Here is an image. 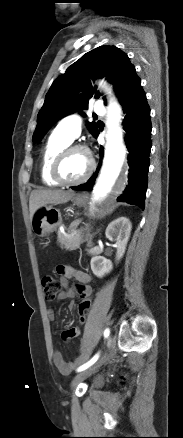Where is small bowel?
I'll list each match as a JSON object with an SVG mask.
<instances>
[{
  "label": "small bowel",
  "instance_id": "1",
  "mask_svg": "<svg viewBox=\"0 0 183 438\" xmlns=\"http://www.w3.org/2000/svg\"><path fill=\"white\" fill-rule=\"evenodd\" d=\"M56 272L60 276V284L64 288L58 294L59 300H64L68 298H74L75 296H79L80 298L88 296L90 297L92 294V289L88 285L91 281V277L86 272L76 269L69 265H58L56 267ZM74 277L78 283L69 287V279ZM75 307V303L71 302L69 304V308L73 309ZM48 317L51 321L55 319V313L53 310L48 311ZM80 334V329L78 327L68 328L63 332V338L65 340H70L77 337ZM90 353L88 351L83 352L80 356H78L73 361H66L62 354L59 351H56L53 355V361L58 370L64 374H70L77 366L83 363L88 357Z\"/></svg>",
  "mask_w": 183,
  "mask_h": 438
}]
</instances>
